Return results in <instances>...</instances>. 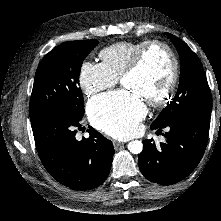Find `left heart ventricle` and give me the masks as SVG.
<instances>
[{
  "instance_id": "left-heart-ventricle-1",
  "label": "left heart ventricle",
  "mask_w": 221,
  "mask_h": 221,
  "mask_svg": "<svg viewBox=\"0 0 221 221\" xmlns=\"http://www.w3.org/2000/svg\"><path fill=\"white\" fill-rule=\"evenodd\" d=\"M170 73V60L160 47L150 49L140 69L122 80L124 87L133 90L144 100L158 97L165 89Z\"/></svg>"
}]
</instances>
